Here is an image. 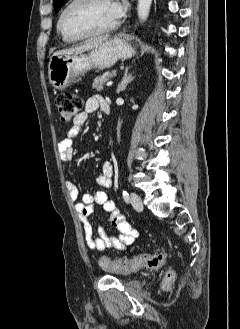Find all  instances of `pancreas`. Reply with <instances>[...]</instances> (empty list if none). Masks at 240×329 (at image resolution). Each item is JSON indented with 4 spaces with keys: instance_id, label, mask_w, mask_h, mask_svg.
I'll list each match as a JSON object with an SVG mask.
<instances>
[{
    "instance_id": "cf45deb5",
    "label": "pancreas",
    "mask_w": 240,
    "mask_h": 329,
    "mask_svg": "<svg viewBox=\"0 0 240 329\" xmlns=\"http://www.w3.org/2000/svg\"><path fill=\"white\" fill-rule=\"evenodd\" d=\"M116 75V72L106 73L102 76H98L94 79V82L92 84V88L96 91H102L103 85L105 82H107L110 78Z\"/></svg>"
}]
</instances>
